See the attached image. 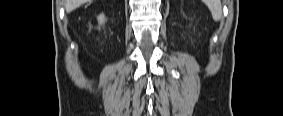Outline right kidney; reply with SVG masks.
Segmentation results:
<instances>
[{
    "instance_id": "ca27d5eb",
    "label": "right kidney",
    "mask_w": 283,
    "mask_h": 116,
    "mask_svg": "<svg viewBox=\"0 0 283 116\" xmlns=\"http://www.w3.org/2000/svg\"><path fill=\"white\" fill-rule=\"evenodd\" d=\"M104 20H105V16L103 14L99 15L98 16V22L99 24H103L104 23Z\"/></svg>"
}]
</instances>
